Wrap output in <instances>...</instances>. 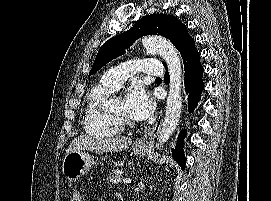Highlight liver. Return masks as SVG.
I'll list each match as a JSON object with an SVG mask.
<instances>
[{
    "mask_svg": "<svg viewBox=\"0 0 271 201\" xmlns=\"http://www.w3.org/2000/svg\"><path fill=\"white\" fill-rule=\"evenodd\" d=\"M130 138L101 139L92 136L80 135L72 140L66 150V155L74 151L88 150L93 152H118L129 148Z\"/></svg>",
    "mask_w": 271,
    "mask_h": 201,
    "instance_id": "obj_1",
    "label": "liver"
}]
</instances>
